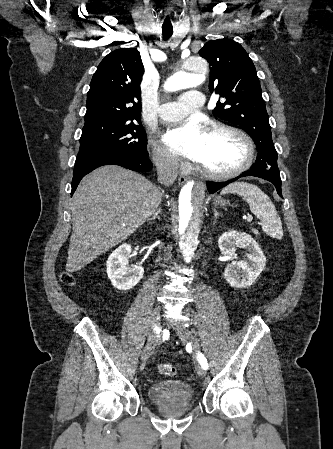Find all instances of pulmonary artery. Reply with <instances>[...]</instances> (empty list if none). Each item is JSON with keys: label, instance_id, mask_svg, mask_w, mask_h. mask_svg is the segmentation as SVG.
<instances>
[{"label": "pulmonary artery", "instance_id": "1", "mask_svg": "<svg viewBox=\"0 0 333 449\" xmlns=\"http://www.w3.org/2000/svg\"><path fill=\"white\" fill-rule=\"evenodd\" d=\"M204 96L197 90L183 93L177 101L164 103L159 107V117L166 121H177L184 118L189 112L199 109L203 104Z\"/></svg>", "mask_w": 333, "mask_h": 449}]
</instances>
